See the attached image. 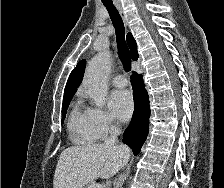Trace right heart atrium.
Segmentation results:
<instances>
[{
	"instance_id": "d8ad5b80",
	"label": "right heart atrium",
	"mask_w": 224,
	"mask_h": 188,
	"mask_svg": "<svg viewBox=\"0 0 224 188\" xmlns=\"http://www.w3.org/2000/svg\"><path fill=\"white\" fill-rule=\"evenodd\" d=\"M85 113L88 125L97 139L107 138L118 128L113 117L101 108L89 107Z\"/></svg>"
}]
</instances>
